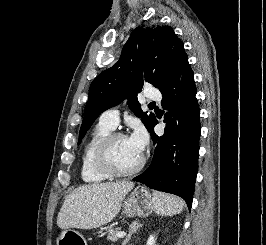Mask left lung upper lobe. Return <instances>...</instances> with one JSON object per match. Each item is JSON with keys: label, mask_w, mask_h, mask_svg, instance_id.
Instances as JSON below:
<instances>
[{"label": "left lung upper lobe", "mask_w": 266, "mask_h": 245, "mask_svg": "<svg viewBox=\"0 0 266 245\" xmlns=\"http://www.w3.org/2000/svg\"><path fill=\"white\" fill-rule=\"evenodd\" d=\"M185 58L183 42L172 27L136 28L125 43L118 62L98 75L90 85L78 144L100 113L125 98H128L130 109L149 129L155 115L141 110L137 93L146 82L162 90Z\"/></svg>", "instance_id": "5c2ea615"}]
</instances>
